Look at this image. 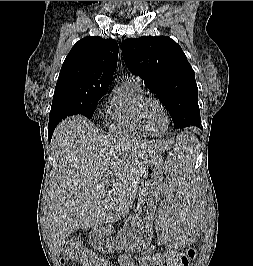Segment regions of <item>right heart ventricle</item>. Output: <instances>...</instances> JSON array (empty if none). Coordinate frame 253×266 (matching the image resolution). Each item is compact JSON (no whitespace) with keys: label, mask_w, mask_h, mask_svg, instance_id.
<instances>
[{"label":"right heart ventricle","mask_w":253,"mask_h":266,"mask_svg":"<svg viewBox=\"0 0 253 266\" xmlns=\"http://www.w3.org/2000/svg\"><path fill=\"white\" fill-rule=\"evenodd\" d=\"M142 96L144 91L140 83L131 78L125 79L115 88L107 111V127L110 132L126 138L146 136L134 120V107Z\"/></svg>","instance_id":"e07e8e85"}]
</instances>
